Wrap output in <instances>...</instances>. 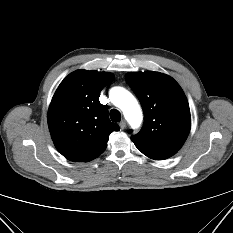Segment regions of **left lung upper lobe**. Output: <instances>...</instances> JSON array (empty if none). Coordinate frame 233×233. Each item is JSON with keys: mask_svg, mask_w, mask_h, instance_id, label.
Here are the masks:
<instances>
[{"mask_svg": "<svg viewBox=\"0 0 233 233\" xmlns=\"http://www.w3.org/2000/svg\"><path fill=\"white\" fill-rule=\"evenodd\" d=\"M126 80L145 115L142 129L131 140L140 149L176 153L191 128L190 109L181 87L172 77L152 71L128 73Z\"/></svg>", "mask_w": 233, "mask_h": 233, "instance_id": "obj_1", "label": "left lung upper lobe"}]
</instances>
